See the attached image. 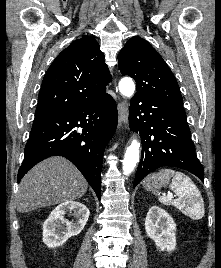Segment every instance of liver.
I'll return each instance as SVG.
<instances>
[{"label":"liver","mask_w":221,"mask_h":268,"mask_svg":"<svg viewBox=\"0 0 221 268\" xmlns=\"http://www.w3.org/2000/svg\"><path fill=\"white\" fill-rule=\"evenodd\" d=\"M88 183L79 170L62 157H51L33 167L22 179L17 211L26 213L82 197Z\"/></svg>","instance_id":"obj_1"}]
</instances>
